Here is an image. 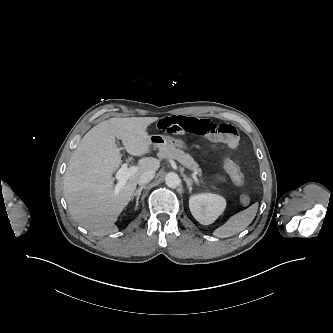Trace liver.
<instances>
[{"label": "liver", "mask_w": 333, "mask_h": 333, "mask_svg": "<svg viewBox=\"0 0 333 333\" xmlns=\"http://www.w3.org/2000/svg\"><path fill=\"white\" fill-rule=\"evenodd\" d=\"M157 120V117L111 118L90 129L74 150L65 172L63 193L74 221L93 235L117 232L115 222L131 200L141 174L160 168L158 159L141 158L137 172L116 192L112 175L122 162V154L115 137L122 140L129 154L144 156L152 144L147 127Z\"/></svg>", "instance_id": "1"}]
</instances>
